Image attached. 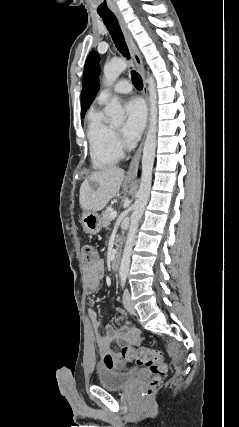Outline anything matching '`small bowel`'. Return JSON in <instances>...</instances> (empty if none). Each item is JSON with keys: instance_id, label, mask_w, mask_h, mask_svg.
Instances as JSON below:
<instances>
[{"instance_id": "1", "label": "small bowel", "mask_w": 239, "mask_h": 427, "mask_svg": "<svg viewBox=\"0 0 239 427\" xmlns=\"http://www.w3.org/2000/svg\"><path fill=\"white\" fill-rule=\"evenodd\" d=\"M87 288L90 292H95L101 283L104 274V262L97 259L95 263L86 266L84 269ZM122 315L125 312L119 309ZM91 324L94 331V337L98 346L102 364L108 369H120L123 366V357L120 353L114 352L111 348L113 342L124 347H134L141 343L140 331L133 325L126 324L119 328L112 325H105L96 317L95 311L91 314Z\"/></svg>"}]
</instances>
